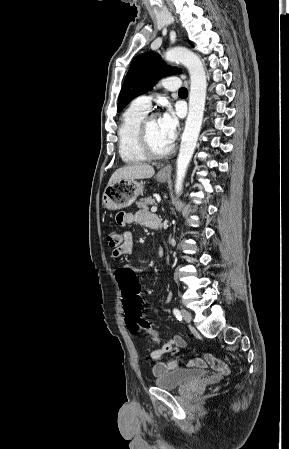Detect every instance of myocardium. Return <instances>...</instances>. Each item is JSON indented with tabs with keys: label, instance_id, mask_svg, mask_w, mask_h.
I'll return each mask as SVG.
<instances>
[{
	"label": "myocardium",
	"instance_id": "f54148a6",
	"mask_svg": "<svg viewBox=\"0 0 289 449\" xmlns=\"http://www.w3.org/2000/svg\"><path fill=\"white\" fill-rule=\"evenodd\" d=\"M153 119H156V116L150 115V116H146L143 119V121L141 122L140 127H139V133H138L139 146H140L141 152L144 154V156L146 158L163 159V158L170 156L174 152L175 145H174V143H172L171 146L169 147V149L162 153H157L152 149L150 142H149L148 126H149V123Z\"/></svg>",
	"mask_w": 289,
	"mask_h": 449
}]
</instances>
